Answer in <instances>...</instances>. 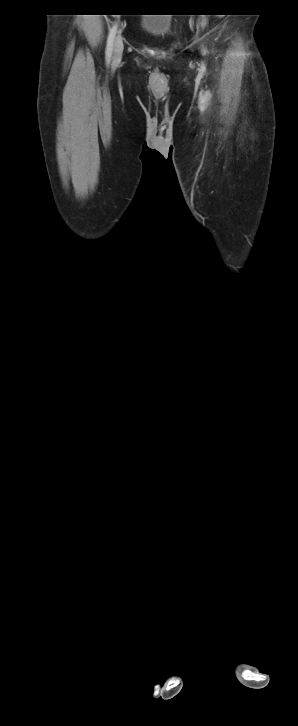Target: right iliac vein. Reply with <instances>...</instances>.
Instances as JSON below:
<instances>
[{
  "label": "right iliac vein",
  "instance_id": "obj_1",
  "mask_svg": "<svg viewBox=\"0 0 298 726\" xmlns=\"http://www.w3.org/2000/svg\"><path fill=\"white\" fill-rule=\"evenodd\" d=\"M123 52V41L120 36H117L113 46V59L115 61L120 60Z\"/></svg>",
  "mask_w": 298,
  "mask_h": 726
}]
</instances>
